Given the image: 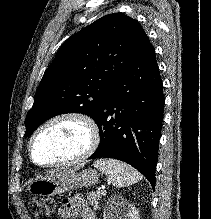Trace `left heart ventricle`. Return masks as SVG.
Wrapping results in <instances>:
<instances>
[{"label":"left heart ventricle","instance_id":"1","mask_svg":"<svg viewBox=\"0 0 211 219\" xmlns=\"http://www.w3.org/2000/svg\"><path fill=\"white\" fill-rule=\"evenodd\" d=\"M88 142L83 124L74 120H60L47 126L33 144L37 162L50 164L72 159L80 154Z\"/></svg>","mask_w":211,"mask_h":219}]
</instances>
